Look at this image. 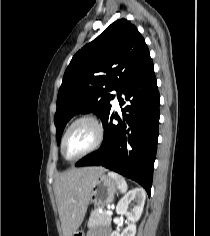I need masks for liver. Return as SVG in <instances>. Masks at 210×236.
I'll return each mask as SVG.
<instances>
[{"label": "liver", "mask_w": 210, "mask_h": 236, "mask_svg": "<svg viewBox=\"0 0 210 236\" xmlns=\"http://www.w3.org/2000/svg\"><path fill=\"white\" fill-rule=\"evenodd\" d=\"M103 167L74 168L60 174L54 185L63 236H72L83 222L93 181Z\"/></svg>", "instance_id": "liver-1"}]
</instances>
